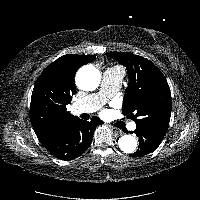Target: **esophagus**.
<instances>
[{
  "instance_id": "esophagus-1",
  "label": "esophagus",
  "mask_w": 200,
  "mask_h": 200,
  "mask_svg": "<svg viewBox=\"0 0 200 200\" xmlns=\"http://www.w3.org/2000/svg\"><path fill=\"white\" fill-rule=\"evenodd\" d=\"M109 128L113 133H121V131L118 128H115L113 126H109Z\"/></svg>"
}]
</instances>
